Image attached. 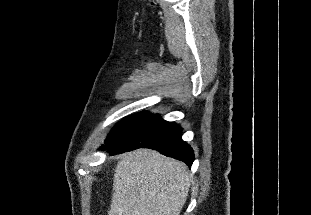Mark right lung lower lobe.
Returning a JSON list of instances; mask_svg holds the SVG:
<instances>
[{"mask_svg":"<svg viewBox=\"0 0 311 215\" xmlns=\"http://www.w3.org/2000/svg\"><path fill=\"white\" fill-rule=\"evenodd\" d=\"M182 128L174 122L149 114L120 141L103 148L110 154H119L138 148H150L181 160L191 166L194 161L192 148L181 138Z\"/></svg>","mask_w":311,"mask_h":215,"instance_id":"obj_1","label":"right lung lower lobe"}]
</instances>
